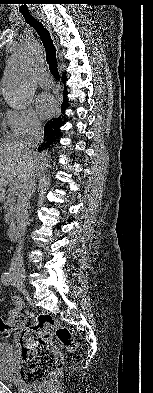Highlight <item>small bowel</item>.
<instances>
[{"instance_id": "small-bowel-1", "label": "small bowel", "mask_w": 153, "mask_h": 393, "mask_svg": "<svg viewBox=\"0 0 153 393\" xmlns=\"http://www.w3.org/2000/svg\"><path fill=\"white\" fill-rule=\"evenodd\" d=\"M1 292H2V288L0 286V294H1ZM13 305H14L13 308L8 311L9 316L15 315L21 310V308H22L21 298L18 296H15L13 298ZM2 345H7V344H2Z\"/></svg>"}]
</instances>
